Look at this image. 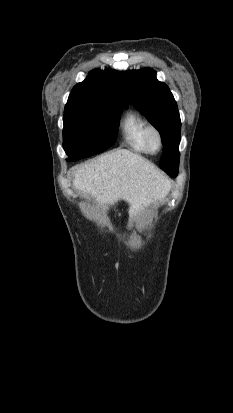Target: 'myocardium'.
Masks as SVG:
<instances>
[{"mask_svg": "<svg viewBox=\"0 0 233 413\" xmlns=\"http://www.w3.org/2000/svg\"><path fill=\"white\" fill-rule=\"evenodd\" d=\"M155 137L157 139V147L154 148L152 146L151 140L152 138ZM144 140H145V145L146 148L148 150V152L155 154L158 153L162 147H163V137L162 134L160 132V130L153 126V125H149L145 131V135H144Z\"/></svg>", "mask_w": 233, "mask_h": 413, "instance_id": "f54148a6", "label": "myocardium"}]
</instances>
